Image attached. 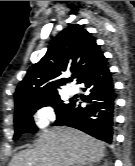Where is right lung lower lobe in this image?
Returning <instances> with one entry per match:
<instances>
[{
    "instance_id": "obj_1",
    "label": "right lung lower lobe",
    "mask_w": 135,
    "mask_h": 166,
    "mask_svg": "<svg viewBox=\"0 0 135 166\" xmlns=\"http://www.w3.org/2000/svg\"><path fill=\"white\" fill-rule=\"evenodd\" d=\"M85 85L90 94L86 107L82 102L72 100L68 109L58 116L55 125H67L87 134L112 143L116 93L107 59L83 75L78 84Z\"/></svg>"
}]
</instances>
